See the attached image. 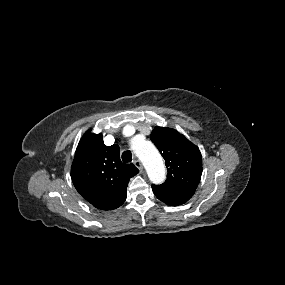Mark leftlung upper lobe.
I'll return each instance as SVG.
<instances>
[{
    "label": "left lung upper lobe",
    "mask_w": 285,
    "mask_h": 285,
    "mask_svg": "<svg viewBox=\"0 0 285 285\" xmlns=\"http://www.w3.org/2000/svg\"><path fill=\"white\" fill-rule=\"evenodd\" d=\"M151 141L166 161L167 179L163 188L195 192L202 174V156L199 148L178 131L155 127Z\"/></svg>",
    "instance_id": "5c2ea615"
}]
</instances>
